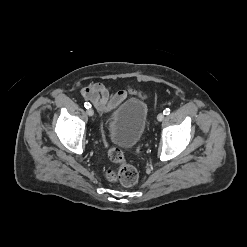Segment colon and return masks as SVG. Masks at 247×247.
<instances>
[{"label":"colon","mask_w":247,"mask_h":247,"mask_svg":"<svg viewBox=\"0 0 247 247\" xmlns=\"http://www.w3.org/2000/svg\"><path fill=\"white\" fill-rule=\"evenodd\" d=\"M108 157L112 162L119 164L117 170L109 168L105 171V177L109 182L120 183L127 187L137 183L139 177L137 170L125 161L124 154L119 148H111Z\"/></svg>","instance_id":"1"}]
</instances>
